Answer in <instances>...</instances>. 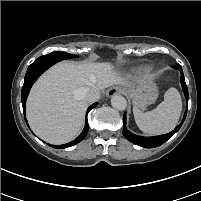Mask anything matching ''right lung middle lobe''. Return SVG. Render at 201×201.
I'll return each mask as SVG.
<instances>
[{
  "instance_id": "right-lung-middle-lobe-1",
  "label": "right lung middle lobe",
  "mask_w": 201,
  "mask_h": 201,
  "mask_svg": "<svg viewBox=\"0 0 201 201\" xmlns=\"http://www.w3.org/2000/svg\"><path fill=\"white\" fill-rule=\"evenodd\" d=\"M46 56H52V57H55V58H60L61 60H64V59H70V58H76L77 56L76 55H73V54H69V53H66V52H52Z\"/></svg>"
}]
</instances>
